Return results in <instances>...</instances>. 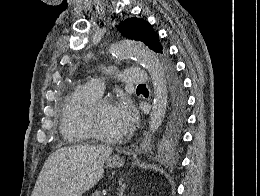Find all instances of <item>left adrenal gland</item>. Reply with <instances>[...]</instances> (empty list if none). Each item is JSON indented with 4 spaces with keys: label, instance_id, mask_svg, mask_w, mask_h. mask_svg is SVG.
<instances>
[{
    "label": "left adrenal gland",
    "instance_id": "1",
    "mask_svg": "<svg viewBox=\"0 0 260 196\" xmlns=\"http://www.w3.org/2000/svg\"><path fill=\"white\" fill-rule=\"evenodd\" d=\"M124 190H125V186H121L119 196H123Z\"/></svg>",
    "mask_w": 260,
    "mask_h": 196
}]
</instances>
